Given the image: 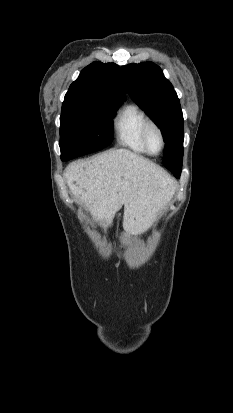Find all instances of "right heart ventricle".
<instances>
[{
  "label": "right heart ventricle",
  "instance_id": "e07e8e85",
  "mask_svg": "<svg viewBox=\"0 0 233 413\" xmlns=\"http://www.w3.org/2000/svg\"><path fill=\"white\" fill-rule=\"evenodd\" d=\"M148 120L145 111L137 103H129L122 107L114 121L118 143L133 152L146 154L141 132Z\"/></svg>",
  "mask_w": 233,
  "mask_h": 413
}]
</instances>
